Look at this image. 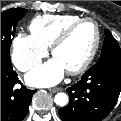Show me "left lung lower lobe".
I'll return each mask as SVG.
<instances>
[{
    "label": "left lung lower lobe",
    "mask_w": 121,
    "mask_h": 121,
    "mask_svg": "<svg viewBox=\"0 0 121 121\" xmlns=\"http://www.w3.org/2000/svg\"><path fill=\"white\" fill-rule=\"evenodd\" d=\"M121 91V60L97 63L67 89L69 103L59 110L63 121H101L114 108Z\"/></svg>",
    "instance_id": "1"
}]
</instances>
